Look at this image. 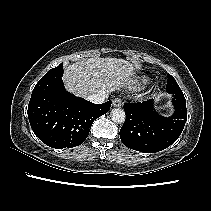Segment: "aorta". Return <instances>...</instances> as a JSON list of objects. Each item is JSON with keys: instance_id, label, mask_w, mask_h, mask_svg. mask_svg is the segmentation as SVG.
<instances>
[{"instance_id": "aorta-1", "label": "aorta", "mask_w": 211, "mask_h": 211, "mask_svg": "<svg viewBox=\"0 0 211 211\" xmlns=\"http://www.w3.org/2000/svg\"><path fill=\"white\" fill-rule=\"evenodd\" d=\"M111 119L116 123H123L125 121V112L120 108H114L110 112Z\"/></svg>"}]
</instances>
